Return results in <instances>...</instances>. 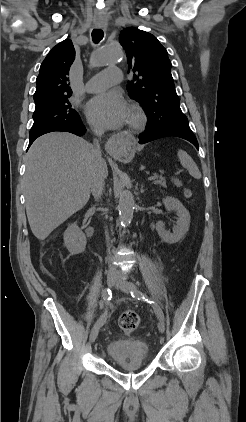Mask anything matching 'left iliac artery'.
I'll use <instances>...</instances> for the list:
<instances>
[{
    "label": "left iliac artery",
    "instance_id": "left-iliac-artery-1",
    "mask_svg": "<svg viewBox=\"0 0 246 422\" xmlns=\"http://www.w3.org/2000/svg\"><path fill=\"white\" fill-rule=\"evenodd\" d=\"M130 293H131V296H132L133 298H136V299H138V300L147 301V302H149L150 304H152L153 309H154V312H155L156 316L158 317V319H159L160 321H164V314H163V311H162V309L159 307V305H158L156 302H154V301H152V300H149L146 294H144V293L140 292V291H139V290H137V289H133V290H131V292H130Z\"/></svg>",
    "mask_w": 246,
    "mask_h": 422
}]
</instances>
